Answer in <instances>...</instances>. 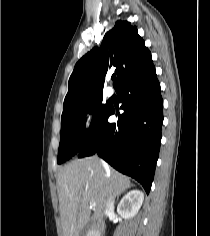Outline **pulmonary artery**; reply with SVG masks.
<instances>
[{
  "label": "pulmonary artery",
  "instance_id": "pulmonary-artery-1",
  "mask_svg": "<svg viewBox=\"0 0 210 236\" xmlns=\"http://www.w3.org/2000/svg\"><path fill=\"white\" fill-rule=\"evenodd\" d=\"M106 94H107V96H112L113 94H114V91H113V89L112 88H110V87H108L107 89H106Z\"/></svg>",
  "mask_w": 210,
  "mask_h": 236
}]
</instances>
